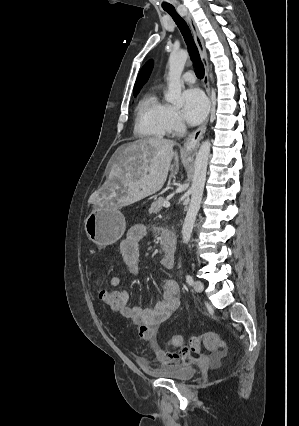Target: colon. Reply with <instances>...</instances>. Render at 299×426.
Here are the masks:
<instances>
[{
    "label": "colon",
    "instance_id": "5ec220e1",
    "mask_svg": "<svg viewBox=\"0 0 299 426\" xmlns=\"http://www.w3.org/2000/svg\"><path fill=\"white\" fill-rule=\"evenodd\" d=\"M99 300L105 305L108 309L112 311L118 310L121 301V294L119 290L113 289L111 287H102L98 292ZM168 343L172 347H182L183 340L180 335H172ZM224 341L221 337L214 332H207L201 336H194L190 339L189 346L183 347L181 350L189 352H200L202 348L215 350L224 347Z\"/></svg>",
    "mask_w": 299,
    "mask_h": 426
}]
</instances>
